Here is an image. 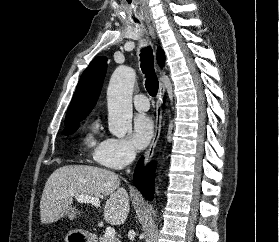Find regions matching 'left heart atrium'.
Returning <instances> with one entry per match:
<instances>
[{
  "instance_id": "left-heart-atrium-1",
  "label": "left heart atrium",
  "mask_w": 279,
  "mask_h": 242,
  "mask_svg": "<svg viewBox=\"0 0 279 242\" xmlns=\"http://www.w3.org/2000/svg\"><path fill=\"white\" fill-rule=\"evenodd\" d=\"M154 135V124L146 114H139L135 117L132 129V141L138 149L145 148Z\"/></svg>"
}]
</instances>
